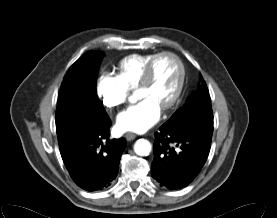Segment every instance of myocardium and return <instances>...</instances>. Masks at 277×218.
<instances>
[{
    "instance_id": "1",
    "label": "myocardium",
    "mask_w": 277,
    "mask_h": 218,
    "mask_svg": "<svg viewBox=\"0 0 277 218\" xmlns=\"http://www.w3.org/2000/svg\"><path fill=\"white\" fill-rule=\"evenodd\" d=\"M163 57L172 58L176 62L177 66L179 68V80H178L177 86H176L174 92L172 93V95L161 106V108L163 110H166V109L170 108L180 98L182 91L184 89L185 81H186L185 64L179 55H177L176 53L170 52V51H164V52H160V53L156 54L151 59V61L148 63V65L145 69L144 75L137 87L138 88L146 87L151 83L154 67H155L157 61Z\"/></svg>"
}]
</instances>
